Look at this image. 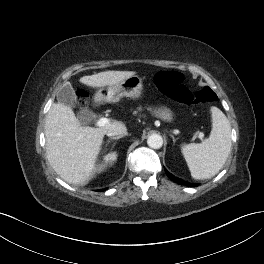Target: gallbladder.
I'll use <instances>...</instances> for the list:
<instances>
[{"label":"gallbladder","instance_id":"1","mask_svg":"<svg viewBox=\"0 0 264 264\" xmlns=\"http://www.w3.org/2000/svg\"><path fill=\"white\" fill-rule=\"evenodd\" d=\"M57 100L60 104L69 108L76 107L77 100L71 84L66 83L61 86L57 93ZM77 118L80 123L87 124L93 118V113L90 110L84 108L78 112Z\"/></svg>","mask_w":264,"mask_h":264}]
</instances>
